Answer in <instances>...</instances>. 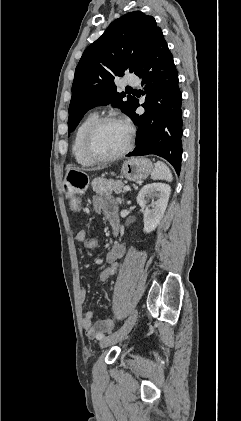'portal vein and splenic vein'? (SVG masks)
Listing matches in <instances>:
<instances>
[{"label":"portal vein and splenic vein","instance_id":"1","mask_svg":"<svg viewBox=\"0 0 241 421\" xmlns=\"http://www.w3.org/2000/svg\"><path fill=\"white\" fill-rule=\"evenodd\" d=\"M123 189L126 190V191H130L131 190V188L129 186H124Z\"/></svg>","mask_w":241,"mask_h":421}]
</instances>
